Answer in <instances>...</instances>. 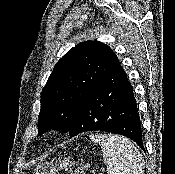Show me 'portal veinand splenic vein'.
Returning <instances> with one entry per match:
<instances>
[{
  "instance_id": "1",
  "label": "portal vein and splenic vein",
  "mask_w": 175,
  "mask_h": 174,
  "mask_svg": "<svg viewBox=\"0 0 175 174\" xmlns=\"http://www.w3.org/2000/svg\"><path fill=\"white\" fill-rule=\"evenodd\" d=\"M104 171V169H101V172H103Z\"/></svg>"
}]
</instances>
